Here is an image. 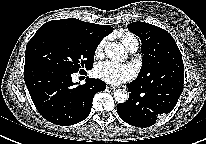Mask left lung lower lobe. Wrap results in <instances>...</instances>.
<instances>
[{"instance_id": "left-lung-lower-lobe-1", "label": "left lung lower lobe", "mask_w": 206, "mask_h": 144, "mask_svg": "<svg viewBox=\"0 0 206 144\" xmlns=\"http://www.w3.org/2000/svg\"><path fill=\"white\" fill-rule=\"evenodd\" d=\"M184 77L155 86H141L136 82L127 84L129 99L117 105L120 118L136 127H149L162 114L170 113L182 91Z\"/></svg>"}]
</instances>
